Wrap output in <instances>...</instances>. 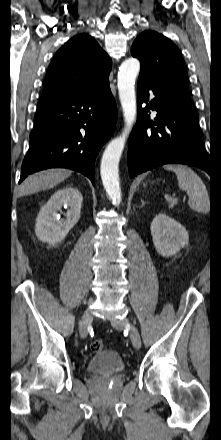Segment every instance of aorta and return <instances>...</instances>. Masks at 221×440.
I'll list each match as a JSON object with an SVG mask.
<instances>
[{
    "mask_svg": "<svg viewBox=\"0 0 221 440\" xmlns=\"http://www.w3.org/2000/svg\"><path fill=\"white\" fill-rule=\"evenodd\" d=\"M139 70L140 62L136 58L126 59L119 68L117 85L125 126L122 133L107 145L101 160L100 174L103 186L114 204L121 202L118 166L126 140L136 121L135 79Z\"/></svg>",
    "mask_w": 221,
    "mask_h": 440,
    "instance_id": "762f6f07",
    "label": "aorta"
}]
</instances>
